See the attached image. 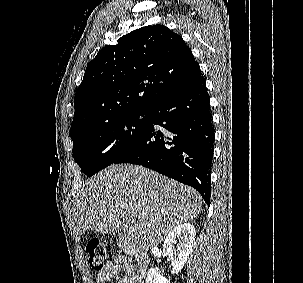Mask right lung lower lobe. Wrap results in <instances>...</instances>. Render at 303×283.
<instances>
[{"instance_id":"1","label":"right lung lower lobe","mask_w":303,"mask_h":283,"mask_svg":"<svg viewBox=\"0 0 303 283\" xmlns=\"http://www.w3.org/2000/svg\"><path fill=\"white\" fill-rule=\"evenodd\" d=\"M138 141L114 164L132 163L195 188L210 204L214 129L203 76L150 110Z\"/></svg>"}]
</instances>
